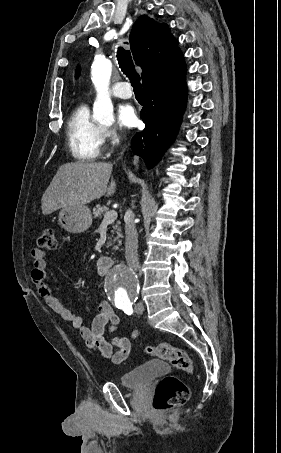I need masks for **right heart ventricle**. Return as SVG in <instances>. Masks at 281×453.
<instances>
[{
    "label": "right heart ventricle",
    "mask_w": 281,
    "mask_h": 453,
    "mask_svg": "<svg viewBox=\"0 0 281 453\" xmlns=\"http://www.w3.org/2000/svg\"><path fill=\"white\" fill-rule=\"evenodd\" d=\"M67 135L73 156L78 160H96L105 140V128L93 120L88 103H81L70 114Z\"/></svg>",
    "instance_id": "obj_1"
}]
</instances>
